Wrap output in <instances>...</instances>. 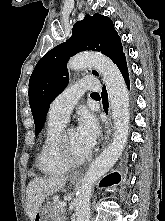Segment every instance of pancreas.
Listing matches in <instances>:
<instances>
[{
    "label": "pancreas",
    "instance_id": "cf45deb5",
    "mask_svg": "<svg viewBox=\"0 0 165 221\" xmlns=\"http://www.w3.org/2000/svg\"><path fill=\"white\" fill-rule=\"evenodd\" d=\"M52 210L57 217V221H64L65 219V207L62 206V202H54L52 205Z\"/></svg>",
    "mask_w": 165,
    "mask_h": 221
}]
</instances>
